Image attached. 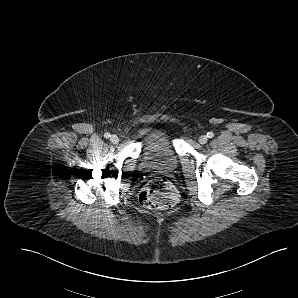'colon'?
Here are the masks:
<instances>
[{
    "label": "colon",
    "instance_id": "obj_1",
    "mask_svg": "<svg viewBox=\"0 0 298 298\" xmlns=\"http://www.w3.org/2000/svg\"><path fill=\"white\" fill-rule=\"evenodd\" d=\"M139 201L147 209L167 210L175 205L177 193L167 179L154 178L140 192Z\"/></svg>",
    "mask_w": 298,
    "mask_h": 298
}]
</instances>
